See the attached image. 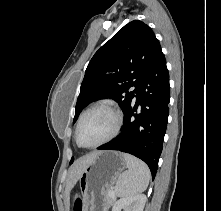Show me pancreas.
I'll list each match as a JSON object with an SVG mask.
<instances>
[{"instance_id":"obj_1","label":"pancreas","mask_w":221,"mask_h":211,"mask_svg":"<svg viewBox=\"0 0 221 211\" xmlns=\"http://www.w3.org/2000/svg\"><path fill=\"white\" fill-rule=\"evenodd\" d=\"M110 190H112V188H109L106 192V196H105L106 205H112L115 201V197H111V196L108 195Z\"/></svg>"}]
</instances>
